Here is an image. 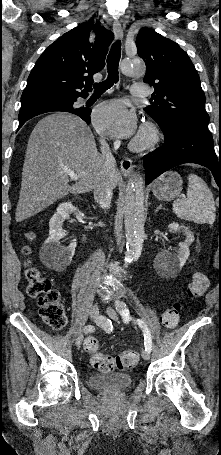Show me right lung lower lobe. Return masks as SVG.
<instances>
[{
  "label": "right lung lower lobe",
  "mask_w": 221,
  "mask_h": 455,
  "mask_svg": "<svg viewBox=\"0 0 221 455\" xmlns=\"http://www.w3.org/2000/svg\"><path fill=\"white\" fill-rule=\"evenodd\" d=\"M85 96H82V97H85ZM54 111H63V112L73 113V114L81 117L87 124L90 123L91 110H89V109L83 108L81 110H75L73 107H67L64 105H51V106L36 107V108H32V109L20 112L18 129L21 128L22 125L30 118H33V117L43 114V113L54 112Z\"/></svg>",
  "instance_id": "right-lung-lower-lobe-1"
}]
</instances>
